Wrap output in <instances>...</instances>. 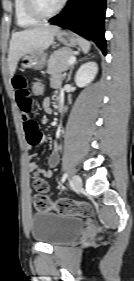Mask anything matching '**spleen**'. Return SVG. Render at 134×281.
<instances>
[{
    "label": "spleen",
    "mask_w": 134,
    "mask_h": 281,
    "mask_svg": "<svg viewBox=\"0 0 134 281\" xmlns=\"http://www.w3.org/2000/svg\"><path fill=\"white\" fill-rule=\"evenodd\" d=\"M79 45L82 48V51L84 53H87L90 50V47H91V44L83 38L79 39Z\"/></svg>",
    "instance_id": "spleen-1"
}]
</instances>
